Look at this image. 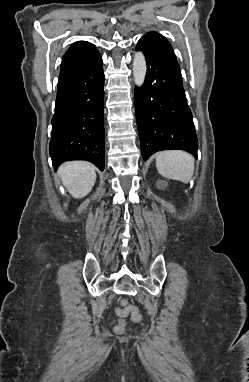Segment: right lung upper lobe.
Masks as SVG:
<instances>
[{
	"instance_id": "right-lung-upper-lobe-1",
	"label": "right lung upper lobe",
	"mask_w": 249,
	"mask_h": 382,
	"mask_svg": "<svg viewBox=\"0 0 249 382\" xmlns=\"http://www.w3.org/2000/svg\"><path fill=\"white\" fill-rule=\"evenodd\" d=\"M98 53L96 47L89 42L78 41L72 44L62 58L58 85L92 63Z\"/></svg>"
}]
</instances>
